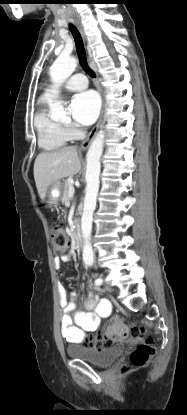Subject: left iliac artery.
Wrapping results in <instances>:
<instances>
[{"label": "left iliac artery", "mask_w": 187, "mask_h": 415, "mask_svg": "<svg viewBox=\"0 0 187 415\" xmlns=\"http://www.w3.org/2000/svg\"><path fill=\"white\" fill-rule=\"evenodd\" d=\"M102 282H103L102 278H98V279H96L95 284H96L97 286H99V285H101V284H102Z\"/></svg>", "instance_id": "left-iliac-artery-1"}]
</instances>
